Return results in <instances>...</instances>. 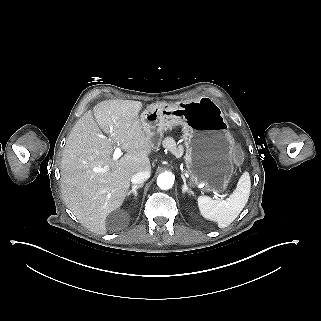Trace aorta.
I'll list each match as a JSON object with an SVG mask.
<instances>
[{
	"instance_id": "aorta-1",
	"label": "aorta",
	"mask_w": 321,
	"mask_h": 321,
	"mask_svg": "<svg viewBox=\"0 0 321 321\" xmlns=\"http://www.w3.org/2000/svg\"><path fill=\"white\" fill-rule=\"evenodd\" d=\"M174 176L171 173H162L157 178V185L163 189H170L174 184Z\"/></svg>"
}]
</instances>
